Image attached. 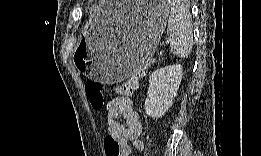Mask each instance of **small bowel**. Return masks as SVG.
I'll return each mask as SVG.
<instances>
[{"instance_id": "small-bowel-1", "label": "small bowel", "mask_w": 261, "mask_h": 156, "mask_svg": "<svg viewBox=\"0 0 261 156\" xmlns=\"http://www.w3.org/2000/svg\"><path fill=\"white\" fill-rule=\"evenodd\" d=\"M107 112L108 135L119 141L122 148V156L130 155V143L141 150L143 144L139 137L142 133V123L132 101L126 97L115 98L108 103ZM119 118L124 119L125 123H120Z\"/></svg>"}]
</instances>
